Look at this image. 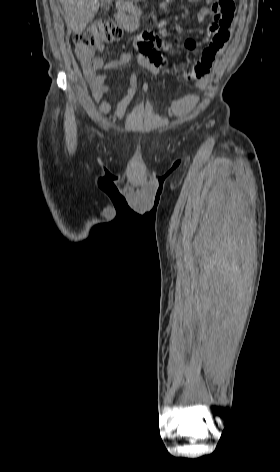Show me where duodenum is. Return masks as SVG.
<instances>
[{
	"mask_svg": "<svg viewBox=\"0 0 280 472\" xmlns=\"http://www.w3.org/2000/svg\"><path fill=\"white\" fill-rule=\"evenodd\" d=\"M119 20L126 30L132 31L136 29L139 24V15L134 14L133 16H121Z\"/></svg>",
	"mask_w": 280,
	"mask_h": 472,
	"instance_id": "duodenum-1",
	"label": "duodenum"
}]
</instances>
